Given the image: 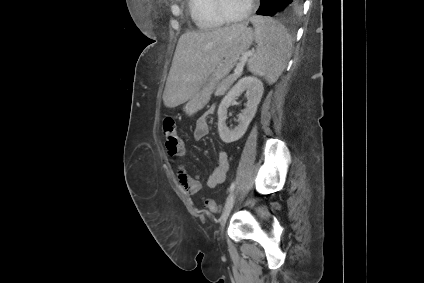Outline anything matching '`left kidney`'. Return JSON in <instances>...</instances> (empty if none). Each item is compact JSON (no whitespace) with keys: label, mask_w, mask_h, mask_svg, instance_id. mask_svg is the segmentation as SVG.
<instances>
[{"label":"left kidney","mask_w":424,"mask_h":283,"mask_svg":"<svg viewBox=\"0 0 424 283\" xmlns=\"http://www.w3.org/2000/svg\"><path fill=\"white\" fill-rule=\"evenodd\" d=\"M246 91L247 103L245 109L239 114V124L233 130L226 125L227 109L233 100ZM264 87L263 83L257 77H243L232 87L227 95L221 101L218 107V131L221 140L225 143H231L239 140L245 134L248 126L254 118L258 104L261 101Z\"/></svg>","instance_id":"obj_1"}]
</instances>
